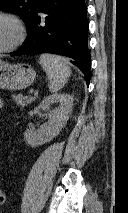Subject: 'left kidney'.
<instances>
[{
    "mask_svg": "<svg viewBox=\"0 0 128 213\" xmlns=\"http://www.w3.org/2000/svg\"><path fill=\"white\" fill-rule=\"evenodd\" d=\"M74 98L69 94H53L46 97L39 105V108L48 114V122L41 125L37 130L27 129L24 139L31 147H36L53 140L62 128L66 125L73 109ZM58 103L59 106L50 109L52 104Z\"/></svg>",
    "mask_w": 128,
    "mask_h": 213,
    "instance_id": "left-kidney-1",
    "label": "left kidney"
}]
</instances>
